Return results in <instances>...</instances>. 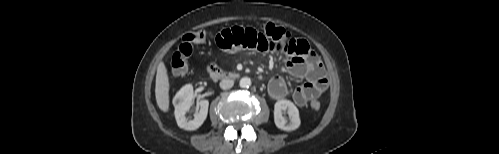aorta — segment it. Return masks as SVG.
Listing matches in <instances>:
<instances>
[{"label": "aorta", "mask_w": 499, "mask_h": 154, "mask_svg": "<svg viewBox=\"0 0 499 154\" xmlns=\"http://www.w3.org/2000/svg\"><path fill=\"white\" fill-rule=\"evenodd\" d=\"M251 85V80L247 77H243L240 79L239 86L241 88H249Z\"/></svg>", "instance_id": "762f6f07"}]
</instances>
